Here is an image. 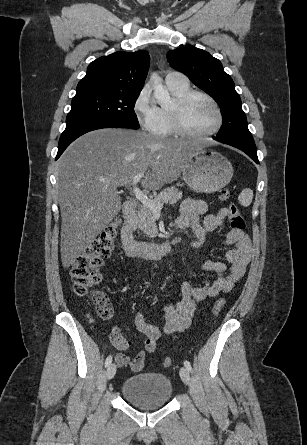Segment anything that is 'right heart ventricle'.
<instances>
[{"label": "right heart ventricle", "instance_id": "e07e8e85", "mask_svg": "<svg viewBox=\"0 0 307 445\" xmlns=\"http://www.w3.org/2000/svg\"><path fill=\"white\" fill-rule=\"evenodd\" d=\"M167 89H168L171 97L176 98V97H180V96L186 94L187 92H189L190 86L187 82H182V81L167 82ZM155 101H156V103H159L156 98H155ZM158 109H159V113H160V125H159L157 132L163 136H167V135L175 133L173 130V127L170 123V120H169V117L167 114V109L165 108V106H163V105H161L160 107L158 106ZM161 140H173V139L162 138Z\"/></svg>", "mask_w": 307, "mask_h": 445}]
</instances>
